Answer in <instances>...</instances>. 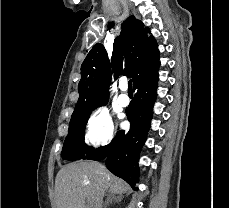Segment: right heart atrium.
<instances>
[{
    "instance_id": "d8ad5b80",
    "label": "right heart atrium",
    "mask_w": 229,
    "mask_h": 208,
    "mask_svg": "<svg viewBox=\"0 0 229 208\" xmlns=\"http://www.w3.org/2000/svg\"><path fill=\"white\" fill-rule=\"evenodd\" d=\"M114 137V127L109 112L102 107L94 109L85 123L84 140L93 147L110 144Z\"/></svg>"
}]
</instances>
